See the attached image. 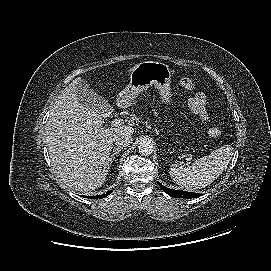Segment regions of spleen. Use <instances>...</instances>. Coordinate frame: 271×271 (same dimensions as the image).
I'll return each instance as SVG.
<instances>
[{
    "label": "spleen",
    "mask_w": 271,
    "mask_h": 271,
    "mask_svg": "<svg viewBox=\"0 0 271 271\" xmlns=\"http://www.w3.org/2000/svg\"><path fill=\"white\" fill-rule=\"evenodd\" d=\"M233 148L230 145L222 146L211 152L210 155L197 159L191 166H170L171 178L181 187L194 191L211 184L227 168Z\"/></svg>",
    "instance_id": "1"
}]
</instances>
